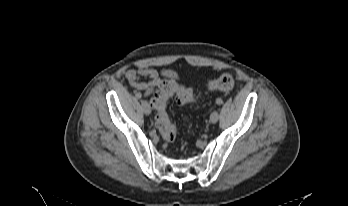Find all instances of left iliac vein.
<instances>
[{"mask_svg":"<svg viewBox=\"0 0 348 206\" xmlns=\"http://www.w3.org/2000/svg\"><path fill=\"white\" fill-rule=\"evenodd\" d=\"M219 119V114L217 111H213L210 115V122L211 123H216Z\"/></svg>","mask_w":348,"mask_h":206,"instance_id":"left-iliac-vein-1","label":"left iliac vein"}]
</instances>
